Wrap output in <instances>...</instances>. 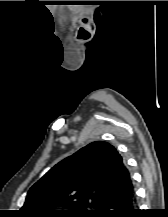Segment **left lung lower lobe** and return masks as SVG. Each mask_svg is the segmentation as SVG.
I'll return each mask as SVG.
<instances>
[{"label": "left lung lower lobe", "instance_id": "1", "mask_svg": "<svg viewBox=\"0 0 168 217\" xmlns=\"http://www.w3.org/2000/svg\"><path fill=\"white\" fill-rule=\"evenodd\" d=\"M136 196L132 180L118 192L108 197L95 217H138Z\"/></svg>", "mask_w": 168, "mask_h": 217}]
</instances>
